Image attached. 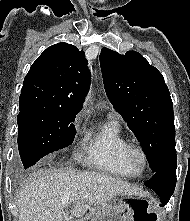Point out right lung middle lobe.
Returning <instances> with one entry per match:
<instances>
[{
    "mask_svg": "<svg viewBox=\"0 0 190 221\" xmlns=\"http://www.w3.org/2000/svg\"><path fill=\"white\" fill-rule=\"evenodd\" d=\"M76 114L50 109L19 113L18 148L25 169L45 155L72 144L76 134L73 125Z\"/></svg>",
    "mask_w": 190,
    "mask_h": 221,
    "instance_id": "obj_1",
    "label": "right lung middle lobe"
}]
</instances>
